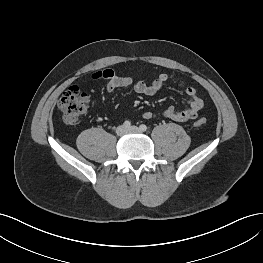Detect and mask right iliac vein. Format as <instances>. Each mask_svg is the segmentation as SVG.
<instances>
[{"instance_id": "obj_1", "label": "right iliac vein", "mask_w": 263, "mask_h": 263, "mask_svg": "<svg viewBox=\"0 0 263 263\" xmlns=\"http://www.w3.org/2000/svg\"><path fill=\"white\" fill-rule=\"evenodd\" d=\"M126 132H127V129H126V127L124 125H121V126L117 127V129H116V133L119 136L124 135Z\"/></svg>"}]
</instances>
